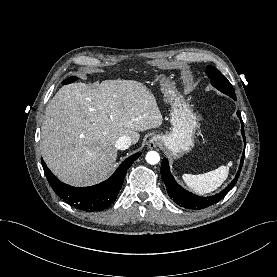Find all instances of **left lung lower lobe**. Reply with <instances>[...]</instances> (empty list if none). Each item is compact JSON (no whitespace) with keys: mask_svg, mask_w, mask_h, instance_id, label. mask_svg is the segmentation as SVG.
Wrapping results in <instances>:
<instances>
[{"mask_svg":"<svg viewBox=\"0 0 277 277\" xmlns=\"http://www.w3.org/2000/svg\"><path fill=\"white\" fill-rule=\"evenodd\" d=\"M238 117L241 120V132L244 139V144H246L245 140V134H244V128H243V122L241 119V116L239 112H237ZM244 160V153L241 158L240 167L237 175L235 176L234 180L231 182L229 186H227L222 192L211 196V197H199L197 195L192 194L191 192H188L187 190L183 189L173 178L171 175V172L169 170V164L168 160L164 158L162 160L161 164V176L162 180L165 183V186L167 188L168 195L170 198L176 202L178 205L187 208V209H193V210H199L207 208L217 202H219L236 184V181L239 177L240 170L243 165Z\"/></svg>","mask_w":277,"mask_h":277,"instance_id":"0a47b994","label":"left lung lower lobe"}]
</instances>
